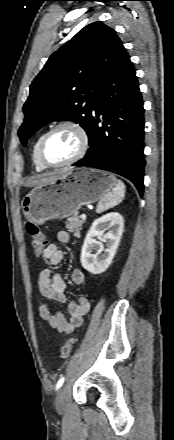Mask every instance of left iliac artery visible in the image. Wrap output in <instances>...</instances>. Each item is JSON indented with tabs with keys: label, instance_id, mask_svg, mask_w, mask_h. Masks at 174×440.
I'll return each mask as SVG.
<instances>
[{
	"label": "left iliac artery",
	"instance_id": "obj_1",
	"mask_svg": "<svg viewBox=\"0 0 174 440\" xmlns=\"http://www.w3.org/2000/svg\"><path fill=\"white\" fill-rule=\"evenodd\" d=\"M64 380H65L64 377H61V378L59 379V381H58L57 384H56V390H58V389L63 385Z\"/></svg>",
	"mask_w": 174,
	"mask_h": 440
}]
</instances>
